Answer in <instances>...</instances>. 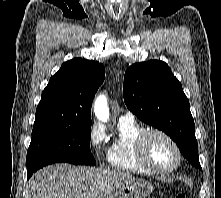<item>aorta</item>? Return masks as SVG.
Here are the masks:
<instances>
[{"instance_id": "aorta-1", "label": "aorta", "mask_w": 221, "mask_h": 198, "mask_svg": "<svg viewBox=\"0 0 221 198\" xmlns=\"http://www.w3.org/2000/svg\"><path fill=\"white\" fill-rule=\"evenodd\" d=\"M94 113L98 120L107 122L109 118V108L107 98L104 94L99 95L94 103Z\"/></svg>"}]
</instances>
